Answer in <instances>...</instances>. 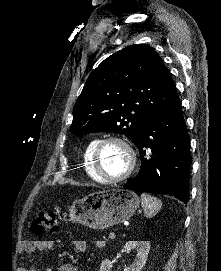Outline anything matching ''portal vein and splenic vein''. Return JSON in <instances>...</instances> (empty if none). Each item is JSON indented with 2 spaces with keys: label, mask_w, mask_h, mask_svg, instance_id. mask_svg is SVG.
Returning a JSON list of instances; mask_svg holds the SVG:
<instances>
[{
  "label": "portal vein and splenic vein",
  "mask_w": 221,
  "mask_h": 271,
  "mask_svg": "<svg viewBox=\"0 0 221 271\" xmlns=\"http://www.w3.org/2000/svg\"><path fill=\"white\" fill-rule=\"evenodd\" d=\"M109 240H116V235H115V233H110V235H109Z\"/></svg>",
  "instance_id": "obj_1"
}]
</instances>
